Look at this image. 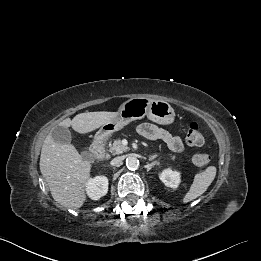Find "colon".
I'll return each mask as SVG.
<instances>
[{
	"instance_id": "1",
	"label": "colon",
	"mask_w": 261,
	"mask_h": 261,
	"mask_svg": "<svg viewBox=\"0 0 261 261\" xmlns=\"http://www.w3.org/2000/svg\"><path fill=\"white\" fill-rule=\"evenodd\" d=\"M186 140L187 143L192 146H200L204 143L205 138L201 127L197 122H192L189 125L186 133ZM192 160L196 166H204L209 162L210 157L206 153L199 152L194 154Z\"/></svg>"
}]
</instances>
